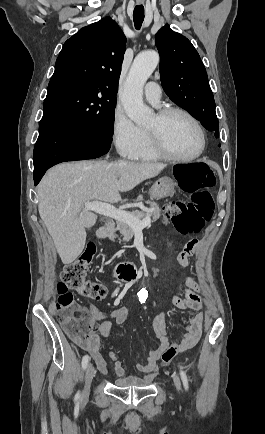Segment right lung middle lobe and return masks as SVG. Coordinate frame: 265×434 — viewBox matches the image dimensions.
<instances>
[{
    "instance_id": "right-lung-middle-lobe-1",
    "label": "right lung middle lobe",
    "mask_w": 265,
    "mask_h": 434,
    "mask_svg": "<svg viewBox=\"0 0 265 434\" xmlns=\"http://www.w3.org/2000/svg\"><path fill=\"white\" fill-rule=\"evenodd\" d=\"M117 91L95 78L51 79L42 118H55L81 131L112 136Z\"/></svg>"
}]
</instances>
